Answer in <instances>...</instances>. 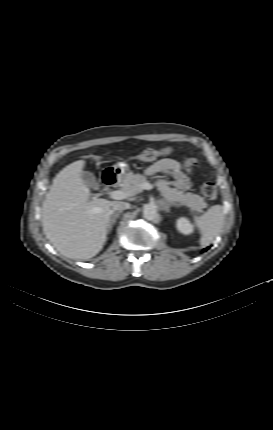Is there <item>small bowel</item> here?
<instances>
[{"instance_id":"obj_1","label":"small bowel","mask_w":273,"mask_h":430,"mask_svg":"<svg viewBox=\"0 0 273 430\" xmlns=\"http://www.w3.org/2000/svg\"><path fill=\"white\" fill-rule=\"evenodd\" d=\"M146 173L148 175L167 174L171 177L173 185L180 190H187L191 187L190 174L183 172L180 163L170 158L156 161L147 168Z\"/></svg>"}]
</instances>
